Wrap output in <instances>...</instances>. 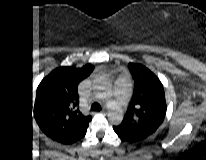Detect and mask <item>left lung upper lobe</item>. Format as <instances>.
<instances>
[{
	"label": "left lung upper lobe",
	"instance_id": "obj_1",
	"mask_svg": "<svg viewBox=\"0 0 206 160\" xmlns=\"http://www.w3.org/2000/svg\"><path fill=\"white\" fill-rule=\"evenodd\" d=\"M135 88L128 111L118 129L146 137L156 131L166 114L163 85L146 67L129 64Z\"/></svg>",
	"mask_w": 206,
	"mask_h": 160
}]
</instances>
